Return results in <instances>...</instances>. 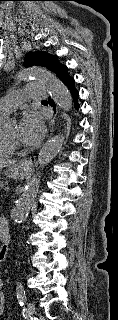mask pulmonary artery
Wrapping results in <instances>:
<instances>
[{
	"label": "pulmonary artery",
	"instance_id": "e3ab8cb5",
	"mask_svg": "<svg viewBox=\"0 0 118 320\" xmlns=\"http://www.w3.org/2000/svg\"><path fill=\"white\" fill-rule=\"evenodd\" d=\"M44 85L39 83H31L26 85L22 91H14L9 96L0 99V113L7 116L15 108L28 100L41 101L45 98Z\"/></svg>",
	"mask_w": 118,
	"mask_h": 320
}]
</instances>
